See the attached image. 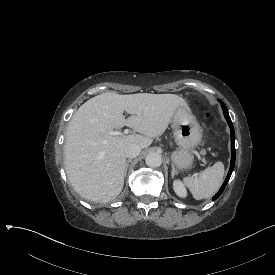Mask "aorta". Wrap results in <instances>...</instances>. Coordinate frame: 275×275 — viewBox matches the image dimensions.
Wrapping results in <instances>:
<instances>
[{"mask_svg":"<svg viewBox=\"0 0 275 275\" xmlns=\"http://www.w3.org/2000/svg\"><path fill=\"white\" fill-rule=\"evenodd\" d=\"M146 164L149 167H159L162 164V157L156 152H151L146 156Z\"/></svg>","mask_w":275,"mask_h":275,"instance_id":"762f6f07","label":"aorta"}]
</instances>
